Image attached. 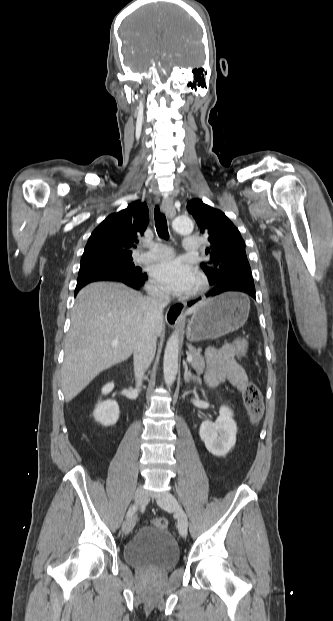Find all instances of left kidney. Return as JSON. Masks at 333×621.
I'll return each instance as SVG.
<instances>
[{
    "label": "left kidney",
    "instance_id": "5707ae66",
    "mask_svg": "<svg viewBox=\"0 0 333 621\" xmlns=\"http://www.w3.org/2000/svg\"><path fill=\"white\" fill-rule=\"evenodd\" d=\"M237 425L233 412L227 406H221L219 417L213 423L202 422L199 430L201 440L207 450L214 456H225L236 443Z\"/></svg>",
    "mask_w": 333,
    "mask_h": 621
}]
</instances>
